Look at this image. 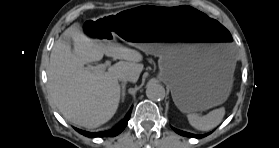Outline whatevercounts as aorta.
<instances>
[{"label": "aorta", "instance_id": "aorta-1", "mask_svg": "<svg viewBox=\"0 0 279 148\" xmlns=\"http://www.w3.org/2000/svg\"><path fill=\"white\" fill-rule=\"evenodd\" d=\"M165 88L156 83H149L146 88V95L152 101H160L165 98Z\"/></svg>", "mask_w": 279, "mask_h": 148}]
</instances>
